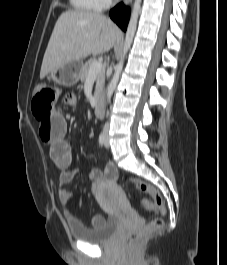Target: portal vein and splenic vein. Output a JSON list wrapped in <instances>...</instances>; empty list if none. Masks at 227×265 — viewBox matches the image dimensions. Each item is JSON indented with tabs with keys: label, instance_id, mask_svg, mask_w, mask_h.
Returning a JSON list of instances; mask_svg holds the SVG:
<instances>
[{
	"label": "portal vein and splenic vein",
	"instance_id": "18ae733b",
	"mask_svg": "<svg viewBox=\"0 0 227 265\" xmlns=\"http://www.w3.org/2000/svg\"><path fill=\"white\" fill-rule=\"evenodd\" d=\"M103 64L101 61L94 63L90 67L89 76H95L102 70Z\"/></svg>",
	"mask_w": 227,
	"mask_h": 265
}]
</instances>
